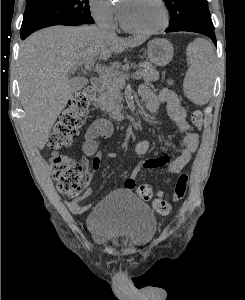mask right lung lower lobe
I'll list each match as a JSON object with an SVG mask.
<instances>
[{
    "mask_svg": "<svg viewBox=\"0 0 245 300\" xmlns=\"http://www.w3.org/2000/svg\"><path fill=\"white\" fill-rule=\"evenodd\" d=\"M28 35H21V39L24 40Z\"/></svg>",
    "mask_w": 245,
    "mask_h": 300,
    "instance_id": "98d812e1",
    "label": "right lung lower lobe"
}]
</instances>
